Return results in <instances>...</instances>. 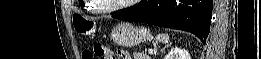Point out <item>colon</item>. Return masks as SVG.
Instances as JSON below:
<instances>
[{
  "label": "colon",
  "instance_id": "1",
  "mask_svg": "<svg viewBox=\"0 0 261 59\" xmlns=\"http://www.w3.org/2000/svg\"><path fill=\"white\" fill-rule=\"evenodd\" d=\"M75 29L82 35L94 38L96 36L97 25L94 20L89 18H83L79 15L74 17L73 21ZM94 55L99 57L100 59H115L120 56V53H114L110 48L107 46L96 43L93 48V53L90 51H86L83 54L85 59H92Z\"/></svg>",
  "mask_w": 261,
  "mask_h": 59
}]
</instances>
